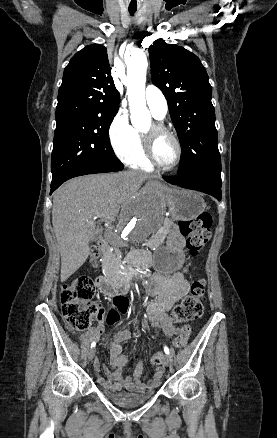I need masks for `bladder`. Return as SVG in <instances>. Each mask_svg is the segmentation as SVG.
Here are the masks:
<instances>
[{"instance_id":"bladder-1","label":"bladder","mask_w":277,"mask_h":438,"mask_svg":"<svg viewBox=\"0 0 277 438\" xmlns=\"http://www.w3.org/2000/svg\"><path fill=\"white\" fill-rule=\"evenodd\" d=\"M102 392L111 403L124 408H136L139 405H144L155 395V390L152 389L138 393L119 389H106Z\"/></svg>"}]
</instances>
